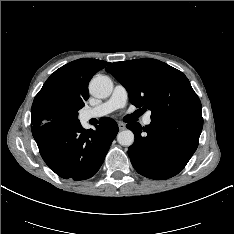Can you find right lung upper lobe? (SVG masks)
<instances>
[{
  "instance_id": "right-lung-upper-lobe-1",
  "label": "right lung upper lobe",
  "mask_w": 234,
  "mask_h": 234,
  "mask_svg": "<svg viewBox=\"0 0 234 234\" xmlns=\"http://www.w3.org/2000/svg\"><path fill=\"white\" fill-rule=\"evenodd\" d=\"M108 64L102 60L84 58L56 70L34 98L32 128L48 122L63 121L61 117L64 113L84 106V101L89 97L90 79Z\"/></svg>"
}]
</instances>
